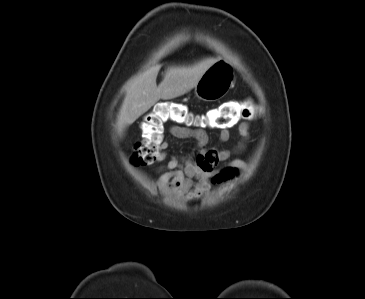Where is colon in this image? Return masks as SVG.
<instances>
[{
    "label": "colon",
    "instance_id": "5ec220e1",
    "mask_svg": "<svg viewBox=\"0 0 365 299\" xmlns=\"http://www.w3.org/2000/svg\"><path fill=\"white\" fill-rule=\"evenodd\" d=\"M251 115L252 109L247 102L231 103L202 115H195L182 103L159 102L145 115L141 124L144 138L135 144L131 162L135 166H144L156 161L164 143V128L167 123L222 129Z\"/></svg>",
    "mask_w": 365,
    "mask_h": 299
}]
</instances>
